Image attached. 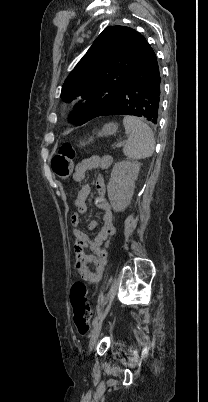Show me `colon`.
Listing matches in <instances>:
<instances>
[{"mask_svg": "<svg viewBox=\"0 0 208 402\" xmlns=\"http://www.w3.org/2000/svg\"><path fill=\"white\" fill-rule=\"evenodd\" d=\"M76 149L69 142H64L51 160L53 173L61 179H67L72 174ZM71 302L74 310V323L81 335H86L90 329L92 306L88 299V290L81 281H75L71 287Z\"/></svg>", "mask_w": 208, "mask_h": 402, "instance_id": "1", "label": "colon"}]
</instances>
